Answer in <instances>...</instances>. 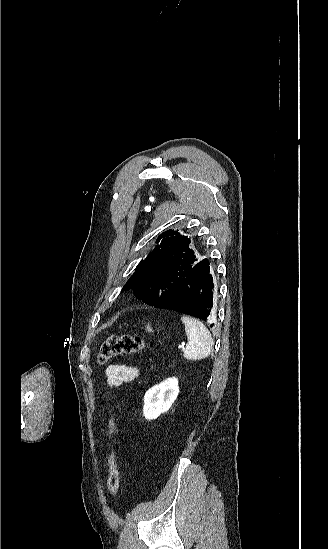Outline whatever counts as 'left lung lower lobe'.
<instances>
[{
    "mask_svg": "<svg viewBox=\"0 0 328 549\" xmlns=\"http://www.w3.org/2000/svg\"><path fill=\"white\" fill-rule=\"evenodd\" d=\"M215 287L205 258L182 277L171 296L158 301L154 307L187 314L206 322L214 318L213 298ZM211 327L213 324L210 325Z\"/></svg>",
    "mask_w": 328,
    "mask_h": 549,
    "instance_id": "1",
    "label": "left lung lower lobe"
}]
</instances>
